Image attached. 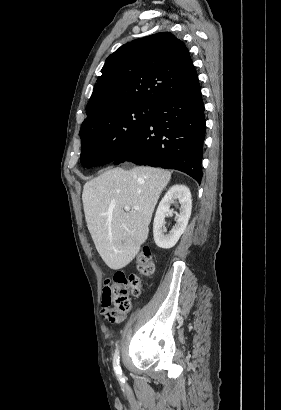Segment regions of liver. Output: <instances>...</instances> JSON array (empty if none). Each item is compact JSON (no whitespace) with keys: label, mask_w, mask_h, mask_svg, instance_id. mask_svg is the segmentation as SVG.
Segmentation results:
<instances>
[{"label":"liver","mask_w":281,"mask_h":410,"mask_svg":"<svg viewBox=\"0 0 281 410\" xmlns=\"http://www.w3.org/2000/svg\"><path fill=\"white\" fill-rule=\"evenodd\" d=\"M170 179V171L141 166L110 169L85 183L82 201L87 227L109 268L122 269L138 254ZM125 206L130 210L125 212Z\"/></svg>","instance_id":"6515ba94"}]
</instances>
